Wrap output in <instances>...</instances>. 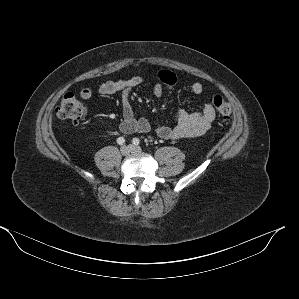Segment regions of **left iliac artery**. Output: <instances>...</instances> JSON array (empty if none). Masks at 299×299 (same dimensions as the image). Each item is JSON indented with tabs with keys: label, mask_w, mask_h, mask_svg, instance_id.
I'll return each instance as SVG.
<instances>
[{
	"label": "left iliac artery",
	"mask_w": 299,
	"mask_h": 299,
	"mask_svg": "<svg viewBox=\"0 0 299 299\" xmlns=\"http://www.w3.org/2000/svg\"><path fill=\"white\" fill-rule=\"evenodd\" d=\"M132 142L134 145H139L140 140L138 138H133Z\"/></svg>",
	"instance_id": "44dca946"
}]
</instances>
